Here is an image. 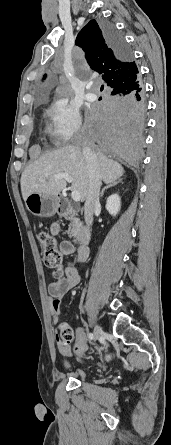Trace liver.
Returning <instances> with one entry per match:
<instances>
[{
	"instance_id": "liver-1",
	"label": "liver",
	"mask_w": 171,
	"mask_h": 445,
	"mask_svg": "<svg viewBox=\"0 0 171 445\" xmlns=\"http://www.w3.org/2000/svg\"><path fill=\"white\" fill-rule=\"evenodd\" d=\"M101 180L108 184L123 176L124 168L118 162L96 154ZM67 173L72 177V190H77L81 200L89 191V171L81 146H66L48 152L26 167L21 176V192L24 201L31 193L52 197L66 188L65 179H54V175Z\"/></svg>"
}]
</instances>
